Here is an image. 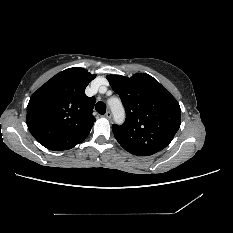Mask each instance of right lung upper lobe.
<instances>
[{"instance_id":"cb5924a9","label":"right lung upper lobe","mask_w":233,"mask_h":233,"mask_svg":"<svg viewBox=\"0 0 233 233\" xmlns=\"http://www.w3.org/2000/svg\"><path fill=\"white\" fill-rule=\"evenodd\" d=\"M95 77L83 68H69L31 96L26 122L41 145L54 151L69 150L89 135L95 122V98L87 97L85 88Z\"/></svg>"}]
</instances>
